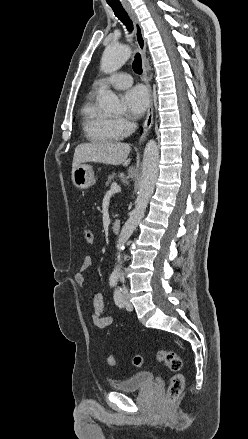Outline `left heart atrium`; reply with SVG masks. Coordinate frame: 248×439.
Returning <instances> with one entry per match:
<instances>
[{
	"label": "left heart atrium",
	"instance_id": "39dd6f15",
	"mask_svg": "<svg viewBox=\"0 0 248 439\" xmlns=\"http://www.w3.org/2000/svg\"><path fill=\"white\" fill-rule=\"evenodd\" d=\"M123 101L128 112L134 117H139L148 107L149 94L143 86H135L124 94Z\"/></svg>",
	"mask_w": 248,
	"mask_h": 439
}]
</instances>
